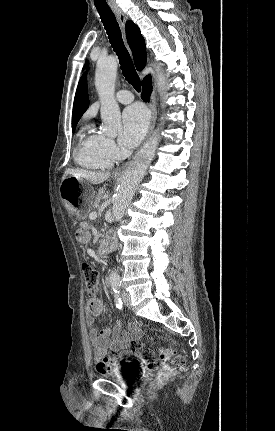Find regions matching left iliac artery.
Masks as SVG:
<instances>
[{"instance_id":"44dca946","label":"left iliac artery","mask_w":275,"mask_h":431,"mask_svg":"<svg viewBox=\"0 0 275 431\" xmlns=\"http://www.w3.org/2000/svg\"><path fill=\"white\" fill-rule=\"evenodd\" d=\"M115 284H118V285H119V282H115Z\"/></svg>"}]
</instances>
